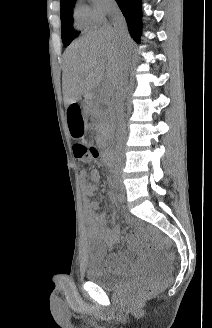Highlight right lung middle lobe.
I'll return each mask as SVG.
<instances>
[{
    "instance_id": "1",
    "label": "right lung middle lobe",
    "mask_w": 212,
    "mask_h": 328,
    "mask_svg": "<svg viewBox=\"0 0 212 328\" xmlns=\"http://www.w3.org/2000/svg\"><path fill=\"white\" fill-rule=\"evenodd\" d=\"M60 2L62 41L64 46H68L79 35L74 31L72 22L73 5L76 0H60Z\"/></svg>"
}]
</instances>
